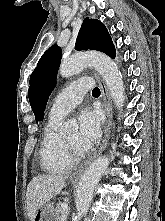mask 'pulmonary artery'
Listing matches in <instances>:
<instances>
[{"label": "pulmonary artery", "instance_id": "pulmonary-artery-1", "mask_svg": "<svg viewBox=\"0 0 165 221\" xmlns=\"http://www.w3.org/2000/svg\"><path fill=\"white\" fill-rule=\"evenodd\" d=\"M93 87L91 78H81L67 85L53 100L49 117L62 119L83 100L85 93Z\"/></svg>", "mask_w": 165, "mask_h": 221}]
</instances>
